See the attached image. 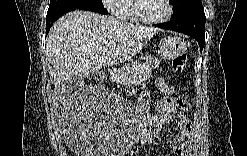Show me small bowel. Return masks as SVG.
Masks as SVG:
<instances>
[{
  "label": "small bowel",
  "mask_w": 247,
  "mask_h": 156,
  "mask_svg": "<svg viewBox=\"0 0 247 156\" xmlns=\"http://www.w3.org/2000/svg\"><path fill=\"white\" fill-rule=\"evenodd\" d=\"M157 88L165 94L164 98H171L173 106H169V109H161L159 113L163 114L162 118L147 115L149 93H144L142 97V106L146 115V119L149 124L154 127L169 125L176 129V135L172 141V153L177 156L187 155L189 140L192 134V125L189 119L184 115L183 111L189 108V104L179 98L173 96L174 88L168 85L163 79L157 81ZM153 134L147 136L144 141H150L153 139Z\"/></svg>",
  "instance_id": "c3829d8e"
}]
</instances>
